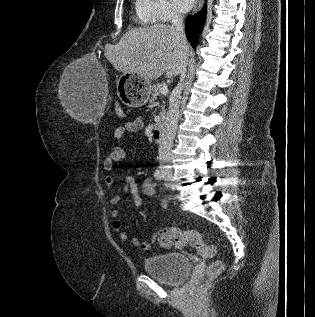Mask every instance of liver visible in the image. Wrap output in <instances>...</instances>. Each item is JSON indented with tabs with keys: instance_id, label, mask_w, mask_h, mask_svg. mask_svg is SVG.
Listing matches in <instances>:
<instances>
[{
	"instance_id": "6515ba94",
	"label": "liver",
	"mask_w": 315,
	"mask_h": 317,
	"mask_svg": "<svg viewBox=\"0 0 315 317\" xmlns=\"http://www.w3.org/2000/svg\"><path fill=\"white\" fill-rule=\"evenodd\" d=\"M191 54L187 41L181 40L171 25L155 24L126 32L116 45H107L104 55L123 73H137L155 80L166 73L173 78L181 73Z\"/></svg>"
}]
</instances>
